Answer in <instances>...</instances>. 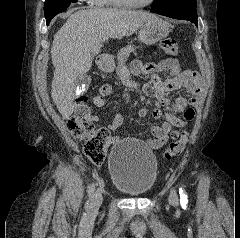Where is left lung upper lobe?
Here are the masks:
<instances>
[{
    "label": "left lung upper lobe",
    "mask_w": 240,
    "mask_h": 238,
    "mask_svg": "<svg viewBox=\"0 0 240 238\" xmlns=\"http://www.w3.org/2000/svg\"><path fill=\"white\" fill-rule=\"evenodd\" d=\"M169 6H184L196 8V0H154L151 9H159Z\"/></svg>",
    "instance_id": "left-lung-upper-lobe-1"
}]
</instances>
